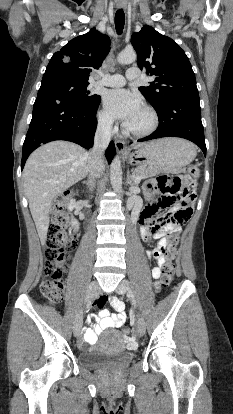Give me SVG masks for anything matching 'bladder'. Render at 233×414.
Masks as SVG:
<instances>
[{
  "label": "bladder",
  "instance_id": "31cf9c89",
  "mask_svg": "<svg viewBox=\"0 0 233 414\" xmlns=\"http://www.w3.org/2000/svg\"><path fill=\"white\" fill-rule=\"evenodd\" d=\"M131 354L124 351L123 336L119 331H110L103 337V341L91 351L79 355L83 365L98 367L109 362L126 363L131 361Z\"/></svg>",
  "mask_w": 233,
  "mask_h": 414
}]
</instances>
